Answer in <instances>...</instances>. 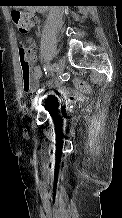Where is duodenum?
Segmentation results:
<instances>
[{
  "instance_id": "obj_1",
  "label": "duodenum",
  "mask_w": 122,
  "mask_h": 218,
  "mask_svg": "<svg viewBox=\"0 0 122 218\" xmlns=\"http://www.w3.org/2000/svg\"><path fill=\"white\" fill-rule=\"evenodd\" d=\"M33 10L39 12L41 10V8L40 7H34Z\"/></svg>"
}]
</instances>
